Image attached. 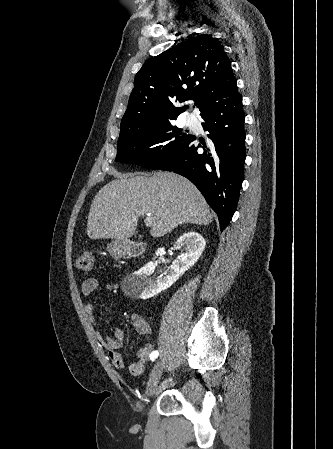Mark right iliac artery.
Instances as JSON below:
<instances>
[{"instance_id": "obj_1", "label": "right iliac artery", "mask_w": 333, "mask_h": 449, "mask_svg": "<svg viewBox=\"0 0 333 449\" xmlns=\"http://www.w3.org/2000/svg\"><path fill=\"white\" fill-rule=\"evenodd\" d=\"M158 355H159V352L157 350H154L150 355V359L152 361H154L158 357Z\"/></svg>"}]
</instances>
